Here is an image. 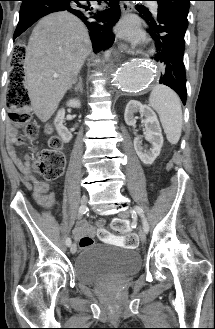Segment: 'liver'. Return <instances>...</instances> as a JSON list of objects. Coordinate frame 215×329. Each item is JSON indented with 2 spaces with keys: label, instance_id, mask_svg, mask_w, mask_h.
<instances>
[{
  "label": "liver",
  "instance_id": "6515ba94",
  "mask_svg": "<svg viewBox=\"0 0 215 329\" xmlns=\"http://www.w3.org/2000/svg\"><path fill=\"white\" fill-rule=\"evenodd\" d=\"M91 42L84 23L68 12L41 19L26 48V87L36 116L46 122L76 82Z\"/></svg>",
  "mask_w": 215,
  "mask_h": 329
}]
</instances>
